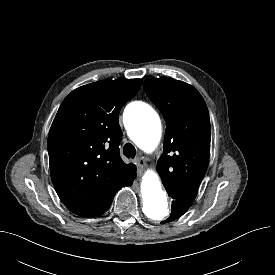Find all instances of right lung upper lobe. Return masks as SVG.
Returning <instances> with one entry per match:
<instances>
[{"label": "right lung upper lobe", "instance_id": "1", "mask_svg": "<svg viewBox=\"0 0 275 275\" xmlns=\"http://www.w3.org/2000/svg\"><path fill=\"white\" fill-rule=\"evenodd\" d=\"M141 84V79L98 81L75 89L62 102L47 148L52 182L71 212L100 216L135 174V166L119 155L118 115Z\"/></svg>", "mask_w": 275, "mask_h": 275}]
</instances>
